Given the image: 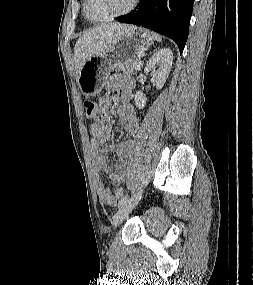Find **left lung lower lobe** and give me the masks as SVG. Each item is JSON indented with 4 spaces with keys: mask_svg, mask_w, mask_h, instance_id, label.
Instances as JSON below:
<instances>
[{
    "mask_svg": "<svg viewBox=\"0 0 253 285\" xmlns=\"http://www.w3.org/2000/svg\"><path fill=\"white\" fill-rule=\"evenodd\" d=\"M194 0H144L134 11L116 18L141 25L174 40L180 53L185 47Z\"/></svg>",
    "mask_w": 253,
    "mask_h": 285,
    "instance_id": "left-lung-lower-lobe-1",
    "label": "left lung lower lobe"
}]
</instances>
